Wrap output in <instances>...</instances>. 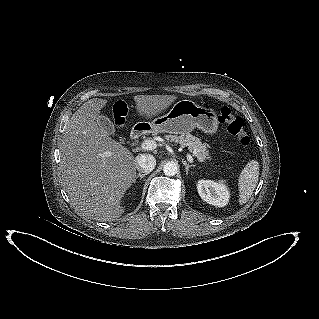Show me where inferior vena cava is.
Instances as JSON below:
<instances>
[{
  "label": "inferior vena cava",
  "instance_id": "602c4592",
  "mask_svg": "<svg viewBox=\"0 0 319 319\" xmlns=\"http://www.w3.org/2000/svg\"><path fill=\"white\" fill-rule=\"evenodd\" d=\"M137 170L141 173L149 174L156 166V159L150 154H141L137 156Z\"/></svg>",
  "mask_w": 319,
  "mask_h": 319
}]
</instances>
